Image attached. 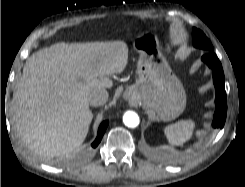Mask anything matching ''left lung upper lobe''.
Wrapping results in <instances>:
<instances>
[{
  "label": "left lung upper lobe",
  "instance_id": "5c2ea615",
  "mask_svg": "<svg viewBox=\"0 0 245 187\" xmlns=\"http://www.w3.org/2000/svg\"><path fill=\"white\" fill-rule=\"evenodd\" d=\"M193 44L195 47L205 49L208 52L213 51V46L210 40L197 28H193Z\"/></svg>",
  "mask_w": 245,
  "mask_h": 187
}]
</instances>
